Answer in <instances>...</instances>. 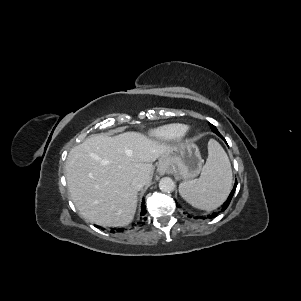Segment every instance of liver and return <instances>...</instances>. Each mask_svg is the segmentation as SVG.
I'll list each match as a JSON object with an SVG mask.
<instances>
[{
	"mask_svg": "<svg viewBox=\"0 0 301 301\" xmlns=\"http://www.w3.org/2000/svg\"><path fill=\"white\" fill-rule=\"evenodd\" d=\"M170 149L139 132L86 138L71 149L65 165L68 190L79 213L104 227L130 224L137 207L133 179L141 176L148 184L152 163Z\"/></svg>",
	"mask_w": 301,
	"mask_h": 301,
	"instance_id": "1",
	"label": "liver"
}]
</instances>
